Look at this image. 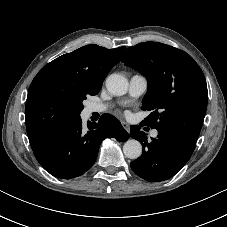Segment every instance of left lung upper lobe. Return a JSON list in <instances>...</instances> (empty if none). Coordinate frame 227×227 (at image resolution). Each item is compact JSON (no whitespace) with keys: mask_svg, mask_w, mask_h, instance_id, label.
Masks as SVG:
<instances>
[{"mask_svg":"<svg viewBox=\"0 0 227 227\" xmlns=\"http://www.w3.org/2000/svg\"><path fill=\"white\" fill-rule=\"evenodd\" d=\"M122 61L147 78L142 109L151 114L142 121L151 128H167L197 140L207 109L204 74L186 52L157 43L128 48Z\"/></svg>","mask_w":227,"mask_h":227,"instance_id":"obj_1","label":"left lung upper lobe"}]
</instances>
